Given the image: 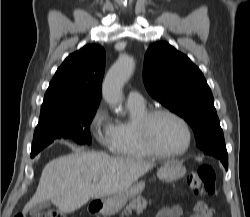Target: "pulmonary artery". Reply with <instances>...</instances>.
<instances>
[{
	"label": "pulmonary artery",
	"mask_w": 250,
	"mask_h": 217,
	"mask_svg": "<svg viewBox=\"0 0 250 217\" xmlns=\"http://www.w3.org/2000/svg\"><path fill=\"white\" fill-rule=\"evenodd\" d=\"M127 103L130 105L140 106L144 104V98L138 91L131 90L127 95Z\"/></svg>",
	"instance_id": "pulmonary-artery-1"
}]
</instances>
